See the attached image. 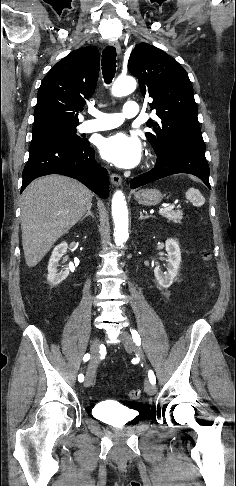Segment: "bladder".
I'll list each match as a JSON object with an SVG mask.
<instances>
[{
  "mask_svg": "<svg viewBox=\"0 0 236 486\" xmlns=\"http://www.w3.org/2000/svg\"><path fill=\"white\" fill-rule=\"evenodd\" d=\"M93 414L97 419L112 425H125L136 419L137 413L112 401H100L93 407Z\"/></svg>",
  "mask_w": 236,
  "mask_h": 486,
  "instance_id": "bladder-1",
  "label": "bladder"
}]
</instances>
